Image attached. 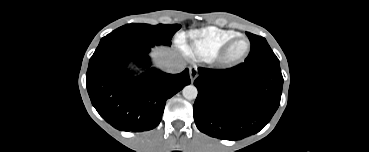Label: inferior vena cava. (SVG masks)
Instances as JSON below:
<instances>
[{"label": "inferior vena cava", "mask_w": 369, "mask_h": 152, "mask_svg": "<svg viewBox=\"0 0 369 152\" xmlns=\"http://www.w3.org/2000/svg\"><path fill=\"white\" fill-rule=\"evenodd\" d=\"M163 68L169 73H179L185 68L182 61H167L163 64Z\"/></svg>", "instance_id": "1"}]
</instances>
